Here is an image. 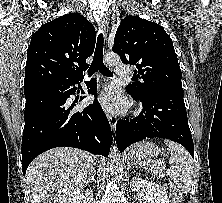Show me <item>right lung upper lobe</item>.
Instances as JSON below:
<instances>
[{"instance_id":"right-lung-upper-lobe-1","label":"right lung upper lobe","mask_w":222,"mask_h":203,"mask_svg":"<svg viewBox=\"0 0 222 203\" xmlns=\"http://www.w3.org/2000/svg\"><path fill=\"white\" fill-rule=\"evenodd\" d=\"M93 25L69 13L42 25L31 38L25 67V95L61 82L83 78L94 51Z\"/></svg>"}]
</instances>
